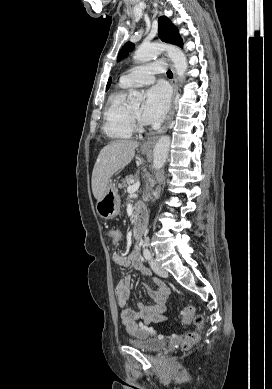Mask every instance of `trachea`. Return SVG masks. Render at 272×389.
<instances>
[{"instance_id":"1","label":"trachea","mask_w":272,"mask_h":389,"mask_svg":"<svg viewBox=\"0 0 272 389\" xmlns=\"http://www.w3.org/2000/svg\"><path fill=\"white\" fill-rule=\"evenodd\" d=\"M167 76H168L169 78H172L173 74H172V71H171V70H168V71H167Z\"/></svg>"}]
</instances>
